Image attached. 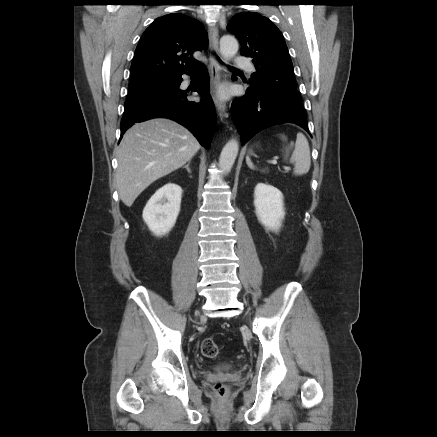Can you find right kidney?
Wrapping results in <instances>:
<instances>
[{
    "instance_id": "right-kidney-1",
    "label": "right kidney",
    "mask_w": 437,
    "mask_h": 437,
    "mask_svg": "<svg viewBox=\"0 0 437 437\" xmlns=\"http://www.w3.org/2000/svg\"><path fill=\"white\" fill-rule=\"evenodd\" d=\"M181 195L179 185L167 183L147 202L142 217L155 236L166 235L174 227L180 212Z\"/></svg>"
}]
</instances>
